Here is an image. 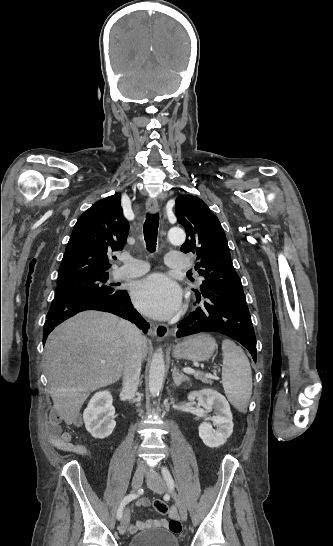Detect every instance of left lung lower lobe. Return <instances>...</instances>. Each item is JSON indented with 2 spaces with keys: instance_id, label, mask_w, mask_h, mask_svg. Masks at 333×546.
Returning <instances> with one entry per match:
<instances>
[{
  "instance_id": "obj_1",
  "label": "left lung lower lobe",
  "mask_w": 333,
  "mask_h": 546,
  "mask_svg": "<svg viewBox=\"0 0 333 546\" xmlns=\"http://www.w3.org/2000/svg\"><path fill=\"white\" fill-rule=\"evenodd\" d=\"M195 295L199 306L177 325L176 338L200 332L221 333L241 343L256 361V337L244 293L219 295L195 291Z\"/></svg>"
}]
</instances>
